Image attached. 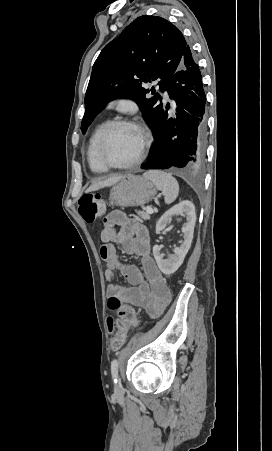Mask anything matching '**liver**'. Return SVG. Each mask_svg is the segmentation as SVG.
Segmentation results:
<instances>
[{
    "label": "liver",
    "mask_w": 272,
    "mask_h": 451,
    "mask_svg": "<svg viewBox=\"0 0 272 451\" xmlns=\"http://www.w3.org/2000/svg\"><path fill=\"white\" fill-rule=\"evenodd\" d=\"M124 176H113V178H108V180H104V182H98V184H93V186H89L87 192H93V190H99V188H105V186H113L119 180H122Z\"/></svg>",
    "instance_id": "1"
}]
</instances>
